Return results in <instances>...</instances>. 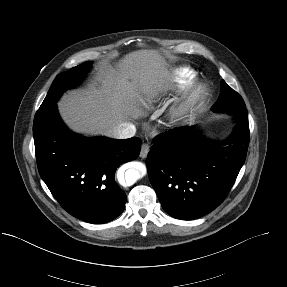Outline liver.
I'll list each match as a JSON object with an SVG mask.
<instances>
[{"label": "liver", "instance_id": "liver-1", "mask_svg": "<svg viewBox=\"0 0 287 287\" xmlns=\"http://www.w3.org/2000/svg\"><path fill=\"white\" fill-rule=\"evenodd\" d=\"M117 67L100 66L94 84L72 91L58 102L60 115L71 130L111 136L114 127L128 120L137 91L160 87L169 78L166 60L154 50L131 52Z\"/></svg>", "mask_w": 287, "mask_h": 287}]
</instances>
